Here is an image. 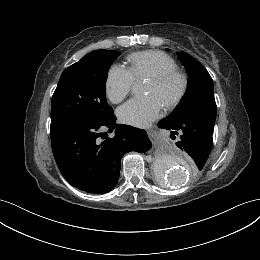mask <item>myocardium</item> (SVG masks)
Segmentation results:
<instances>
[{"label": "myocardium", "instance_id": "obj_1", "mask_svg": "<svg viewBox=\"0 0 260 260\" xmlns=\"http://www.w3.org/2000/svg\"><path fill=\"white\" fill-rule=\"evenodd\" d=\"M178 80V90L165 101L167 107L176 105L185 95L188 88V79L186 75L178 70L167 71L150 77L148 80L157 86H162L171 80Z\"/></svg>", "mask_w": 260, "mask_h": 260}]
</instances>
